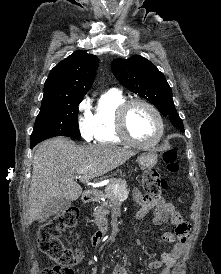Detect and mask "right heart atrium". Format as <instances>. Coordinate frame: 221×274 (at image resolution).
Returning a JSON list of instances; mask_svg holds the SVG:
<instances>
[{
	"label": "right heart atrium",
	"mask_w": 221,
	"mask_h": 274,
	"mask_svg": "<svg viewBox=\"0 0 221 274\" xmlns=\"http://www.w3.org/2000/svg\"><path fill=\"white\" fill-rule=\"evenodd\" d=\"M89 99H83L79 104L78 126L81 136L86 141H92L94 138L93 115L89 108Z\"/></svg>",
	"instance_id": "right-heart-atrium-1"
}]
</instances>
